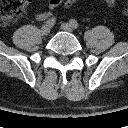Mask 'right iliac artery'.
<instances>
[{
	"label": "right iliac artery",
	"mask_w": 128,
	"mask_h": 128,
	"mask_svg": "<svg viewBox=\"0 0 128 128\" xmlns=\"http://www.w3.org/2000/svg\"><path fill=\"white\" fill-rule=\"evenodd\" d=\"M55 22H56L55 17H51L50 19L47 20L46 25L51 28V27H53V25L55 24Z\"/></svg>",
	"instance_id": "obj_1"
}]
</instances>
